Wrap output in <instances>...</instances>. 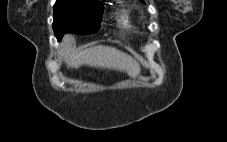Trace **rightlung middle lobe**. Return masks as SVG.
I'll use <instances>...</instances> for the list:
<instances>
[{
    "instance_id": "dd1d6c3e",
    "label": "right lung middle lobe",
    "mask_w": 227,
    "mask_h": 142,
    "mask_svg": "<svg viewBox=\"0 0 227 142\" xmlns=\"http://www.w3.org/2000/svg\"><path fill=\"white\" fill-rule=\"evenodd\" d=\"M103 3L84 0H57L54 5L53 29L58 40L65 33L92 34L98 31Z\"/></svg>"
}]
</instances>
